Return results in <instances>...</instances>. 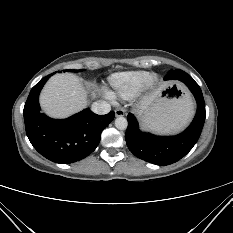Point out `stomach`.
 Masks as SVG:
<instances>
[{"label":"stomach","mask_w":233,"mask_h":233,"mask_svg":"<svg viewBox=\"0 0 233 233\" xmlns=\"http://www.w3.org/2000/svg\"><path fill=\"white\" fill-rule=\"evenodd\" d=\"M193 114V103L182 89L167 84L149 108L142 113L145 128L158 133H174L181 130Z\"/></svg>","instance_id":"1"}]
</instances>
